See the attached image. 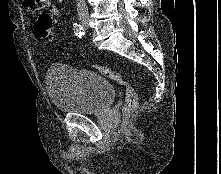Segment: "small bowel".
Masks as SVG:
<instances>
[{
	"label": "small bowel",
	"instance_id": "obj_1",
	"mask_svg": "<svg viewBox=\"0 0 221 174\" xmlns=\"http://www.w3.org/2000/svg\"><path fill=\"white\" fill-rule=\"evenodd\" d=\"M25 3L29 10L40 12V15L45 14L44 11H47L50 15L54 16H60L61 14L59 9L53 4L52 0H25Z\"/></svg>",
	"mask_w": 221,
	"mask_h": 174
}]
</instances>
